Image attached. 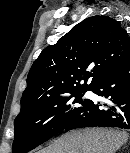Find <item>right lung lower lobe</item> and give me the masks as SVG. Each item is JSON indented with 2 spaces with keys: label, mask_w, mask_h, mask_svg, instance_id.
Instances as JSON below:
<instances>
[{
  "label": "right lung lower lobe",
  "mask_w": 130,
  "mask_h": 153,
  "mask_svg": "<svg viewBox=\"0 0 130 153\" xmlns=\"http://www.w3.org/2000/svg\"><path fill=\"white\" fill-rule=\"evenodd\" d=\"M92 90L108 102L90 100L64 130L94 126L130 129V61L103 76Z\"/></svg>",
  "instance_id": "98d812e1"
}]
</instances>
